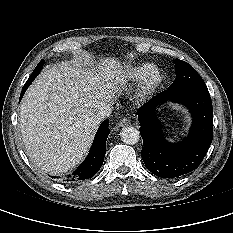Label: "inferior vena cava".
I'll return each instance as SVG.
<instances>
[{
	"label": "inferior vena cava",
	"instance_id": "602c4592",
	"mask_svg": "<svg viewBox=\"0 0 233 233\" xmlns=\"http://www.w3.org/2000/svg\"><path fill=\"white\" fill-rule=\"evenodd\" d=\"M111 113H112V105L104 104L102 105L101 109L95 115V119L100 122L103 119L109 117Z\"/></svg>",
	"mask_w": 233,
	"mask_h": 233
}]
</instances>
